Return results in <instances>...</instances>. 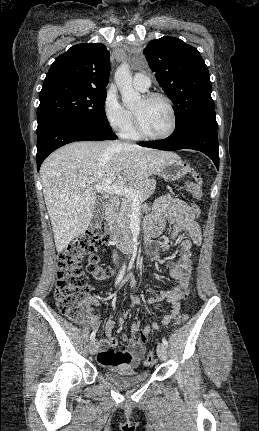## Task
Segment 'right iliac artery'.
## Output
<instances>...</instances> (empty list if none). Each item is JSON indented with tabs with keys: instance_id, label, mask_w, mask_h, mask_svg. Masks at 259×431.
I'll list each match as a JSON object with an SVG mask.
<instances>
[{
	"instance_id": "obj_1",
	"label": "right iliac artery",
	"mask_w": 259,
	"mask_h": 431,
	"mask_svg": "<svg viewBox=\"0 0 259 431\" xmlns=\"http://www.w3.org/2000/svg\"><path fill=\"white\" fill-rule=\"evenodd\" d=\"M125 269H126V264L124 263L123 266H122V268H121V270H120V272H119V275H118V277L116 279L115 286H117L120 283V281L122 280V278L124 276V273H125ZM95 335H96V332L93 331L91 333V335H90V339L94 340Z\"/></svg>"
}]
</instances>
